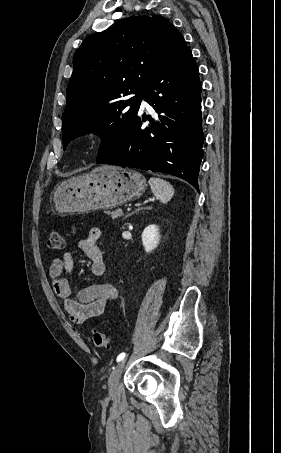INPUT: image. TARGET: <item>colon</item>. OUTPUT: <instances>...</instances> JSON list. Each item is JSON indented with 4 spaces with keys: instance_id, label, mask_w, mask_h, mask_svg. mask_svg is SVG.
Returning a JSON list of instances; mask_svg holds the SVG:
<instances>
[{
    "instance_id": "1",
    "label": "colon",
    "mask_w": 281,
    "mask_h": 453,
    "mask_svg": "<svg viewBox=\"0 0 281 453\" xmlns=\"http://www.w3.org/2000/svg\"><path fill=\"white\" fill-rule=\"evenodd\" d=\"M47 249L51 252H59L62 250V233L60 230H52L47 243ZM110 342V337L107 334L95 332L93 334V345L97 349L107 348Z\"/></svg>"
}]
</instances>
